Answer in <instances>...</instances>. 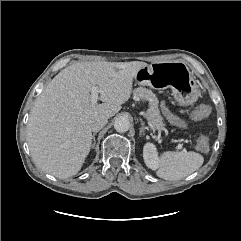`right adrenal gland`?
Here are the masks:
<instances>
[{
  "label": "right adrenal gland",
  "mask_w": 241,
  "mask_h": 241,
  "mask_svg": "<svg viewBox=\"0 0 241 241\" xmlns=\"http://www.w3.org/2000/svg\"><path fill=\"white\" fill-rule=\"evenodd\" d=\"M95 135H96V133H94V134L92 135V139H93L92 148H94V147H95V144H96Z\"/></svg>",
  "instance_id": "obj_1"
}]
</instances>
